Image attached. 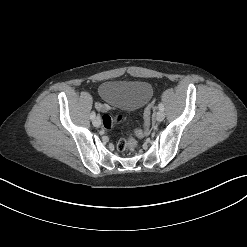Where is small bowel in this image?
Segmentation results:
<instances>
[{
    "mask_svg": "<svg viewBox=\"0 0 247 247\" xmlns=\"http://www.w3.org/2000/svg\"><path fill=\"white\" fill-rule=\"evenodd\" d=\"M97 108H98V110H100V111H104V110L106 109V107H105L104 105H102V104H98V105H97Z\"/></svg>",
    "mask_w": 247,
    "mask_h": 247,
    "instance_id": "obj_1",
    "label": "small bowel"
}]
</instances>
